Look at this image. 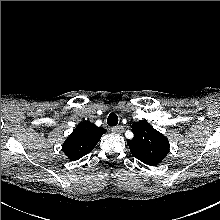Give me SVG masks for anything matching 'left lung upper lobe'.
Segmentation results:
<instances>
[{"mask_svg": "<svg viewBox=\"0 0 220 220\" xmlns=\"http://www.w3.org/2000/svg\"><path fill=\"white\" fill-rule=\"evenodd\" d=\"M134 137L127 144L132 155L150 166L159 164L169 152L168 139L146 120L132 124Z\"/></svg>", "mask_w": 220, "mask_h": 220, "instance_id": "left-lung-upper-lobe-1", "label": "left lung upper lobe"}]
</instances>
